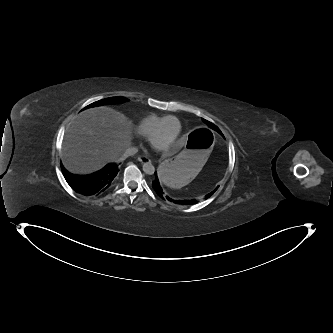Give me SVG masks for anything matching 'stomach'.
<instances>
[{"mask_svg":"<svg viewBox=\"0 0 333 333\" xmlns=\"http://www.w3.org/2000/svg\"><path fill=\"white\" fill-rule=\"evenodd\" d=\"M215 145V135L208 127H198L191 138L180 146L177 155L163 162L159 168L161 181L172 188L191 182Z\"/></svg>","mask_w":333,"mask_h":333,"instance_id":"0dacf381","label":"stomach"}]
</instances>
